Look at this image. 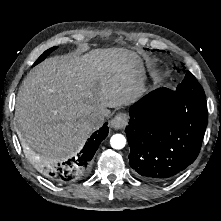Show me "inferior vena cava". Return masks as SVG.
<instances>
[{
    "label": "inferior vena cava",
    "mask_w": 221,
    "mask_h": 221,
    "mask_svg": "<svg viewBox=\"0 0 221 221\" xmlns=\"http://www.w3.org/2000/svg\"><path fill=\"white\" fill-rule=\"evenodd\" d=\"M106 117V110L99 108L92 111L88 116V121L93 127H100Z\"/></svg>",
    "instance_id": "1"
}]
</instances>
